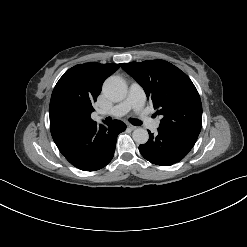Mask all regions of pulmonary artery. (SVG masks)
Instances as JSON below:
<instances>
[{
	"mask_svg": "<svg viewBox=\"0 0 247 247\" xmlns=\"http://www.w3.org/2000/svg\"><path fill=\"white\" fill-rule=\"evenodd\" d=\"M144 102L145 93L143 88L137 83H132L129 87V92L126 99L111 109L101 112L100 117L111 116L114 118H119L127 114L130 110H133L147 128L156 130L159 127V120L152 119L146 115L143 111Z\"/></svg>",
	"mask_w": 247,
	"mask_h": 247,
	"instance_id": "1",
	"label": "pulmonary artery"
}]
</instances>
